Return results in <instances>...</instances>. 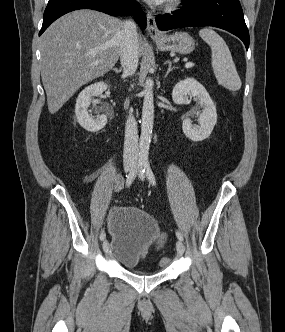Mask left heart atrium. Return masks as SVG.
I'll list each match as a JSON object with an SVG mask.
<instances>
[{"instance_id": "left-heart-atrium-1", "label": "left heart atrium", "mask_w": 285, "mask_h": 332, "mask_svg": "<svg viewBox=\"0 0 285 332\" xmlns=\"http://www.w3.org/2000/svg\"><path fill=\"white\" fill-rule=\"evenodd\" d=\"M149 3L155 4V5H160L162 3H164L167 0H146Z\"/></svg>"}]
</instances>
